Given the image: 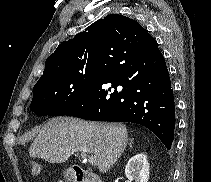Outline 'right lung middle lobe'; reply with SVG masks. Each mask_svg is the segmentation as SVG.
I'll return each mask as SVG.
<instances>
[{
    "label": "right lung middle lobe",
    "mask_w": 211,
    "mask_h": 182,
    "mask_svg": "<svg viewBox=\"0 0 211 182\" xmlns=\"http://www.w3.org/2000/svg\"><path fill=\"white\" fill-rule=\"evenodd\" d=\"M95 65L67 73L59 78L36 84L30 109L37 115L60 116L67 111L89 87Z\"/></svg>",
    "instance_id": "right-lung-middle-lobe-1"
}]
</instances>
